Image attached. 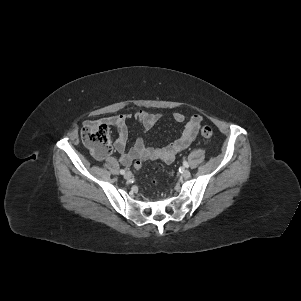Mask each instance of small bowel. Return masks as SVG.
I'll return each mask as SVG.
<instances>
[{"label":"small bowel","mask_w":301,"mask_h":301,"mask_svg":"<svg viewBox=\"0 0 301 301\" xmlns=\"http://www.w3.org/2000/svg\"><path fill=\"white\" fill-rule=\"evenodd\" d=\"M159 119L160 114L151 113L145 110H139L135 114V120L145 131L150 130ZM173 119L177 123H184V128L181 135L172 143L163 147H153L145 145L142 138L139 137L136 139L133 146L129 149L127 148L128 115L119 114L110 116L108 118H105L104 122L117 129L118 137L115 140L114 149L119 154L120 163L128 167L136 159L160 160L165 163H170L175 159L177 154L191 145L202 122V117L200 115H193L186 120V117L182 113L174 112Z\"/></svg>","instance_id":"c3829d8e"}]
</instances>
